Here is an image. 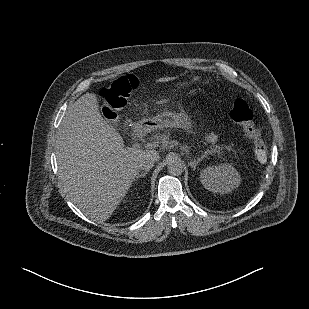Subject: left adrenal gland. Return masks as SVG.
<instances>
[{"instance_id":"obj_1","label":"left adrenal gland","mask_w":309,"mask_h":309,"mask_svg":"<svg viewBox=\"0 0 309 309\" xmlns=\"http://www.w3.org/2000/svg\"><path fill=\"white\" fill-rule=\"evenodd\" d=\"M204 158V155L195 159V160H191L189 165L193 168V170L196 169L197 165L199 164V162Z\"/></svg>"}]
</instances>
